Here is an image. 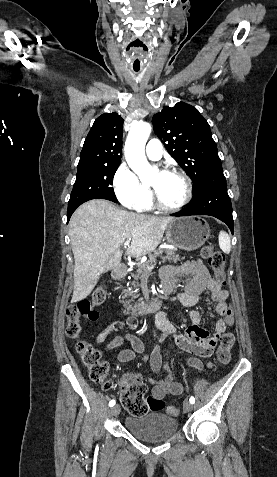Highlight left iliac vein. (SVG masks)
<instances>
[{
	"label": "left iliac vein",
	"instance_id": "left-iliac-vein-1",
	"mask_svg": "<svg viewBox=\"0 0 277 477\" xmlns=\"http://www.w3.org/2000/svg\"><path fill=\"white\" fill-rule=\"evenodd\" d=\"M183 408L185 411L190 412L193 409V405L189 401H184Z\"/></svg>",
	"mask_w": 277,
	"mask_h": 477
}]
</instances>
